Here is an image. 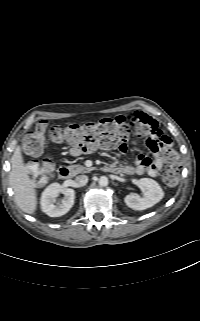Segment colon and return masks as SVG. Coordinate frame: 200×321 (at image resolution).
Wrapping results in <instances>:
<instances>
[{
  "label": "colon",
  "mask_w": 200,
  "mask_h": 321,
  "mask_svg": "<svg viewBox=\"0 0 200 321\" xmlns=\"http://www.w3.org/2000/svg\"><path fill=\"white\" fill-rule=\"evenodd\" d=\"M47 132L53 142L67 143L76 152H88L97 148L124 150L127 141L149 131L146 125L130 122L122 116L50 128L46 121H41L37 124L35 130L29 132L23 140V147L27 154L33 156L40 154ZM165 164L166 170L163 174V181L167 186L174 187L178 184L180 178L178 155L171 150L167 151ZM30 171L33 180L37 184H42L53 173L54 163L51 158L47 157L40 163L32 165Z\"/></svg>",
  "instance_id": "1"
}]
</instances>
